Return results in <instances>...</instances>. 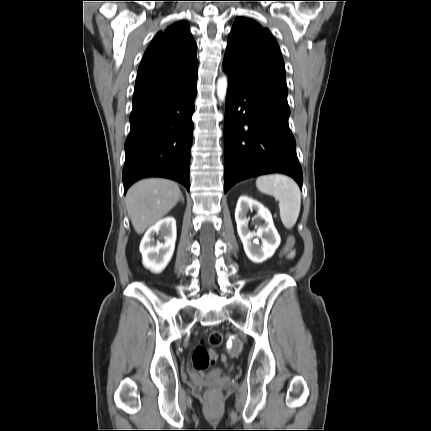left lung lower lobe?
Segmentation results:
<instances>
[{"mask_svg":"<svg viewBox=\"0 0 431 431\" xmlns=\"http://www.w3.org/2000/svg\"><path fill=\"white\" fill-rule=\"evenodd\" d=\"M289 106L229 78L224 126L225 193L237 182L269 173L291 176L302 189V169L288 125Z\"/></svg>","mask_w":431,"mask_h":431,"instance_id":"obj_1","label":"left lung lower lobe"}]
</instances>
